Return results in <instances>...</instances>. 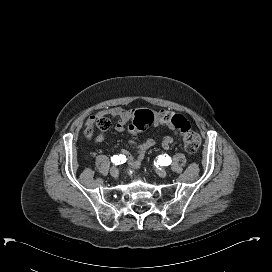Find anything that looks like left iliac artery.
<instances>
[{
  "mask_svg": "<svg viewBox=\"0 0 272 272\" xmlns=\"http://www.w3.org/2000/svg\"><path fill=\"white\" fill-rule=\"evenodd\" d=\"M171 158L167 155V156H160L158 158L157 164L158 165H162V166H168L171 164Z\"/></svg>",
  "mask_w": 272,
  "mask_h": 272,
  "instance_id": "left-iliac-artery-1",
  "label": "left iliac artery"
}]
</instances>
